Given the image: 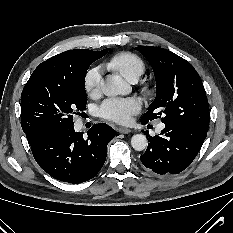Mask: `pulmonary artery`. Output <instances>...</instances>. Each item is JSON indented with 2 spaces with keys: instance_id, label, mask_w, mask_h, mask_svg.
I'll return each instance as SVG.
<instances>
[{
  "instance_id": "1",
  "label": "pulmonary artery",
  "mask_w": 233,
  "mask_h": 233,
  "mask_svg": "<svg viewBox=\"0 0 233 233\" xmlns=\"http://www.w3.org/2000/svg\"><path fill=\"white\" fill-rule=\"evenodd\" d=\"M137 80V78H134L132 79L131 81L132 82H135ZM164 128V124L163 123H160L157 127V131H161L162 129Z\"/></svg>"
}]
</instances>
